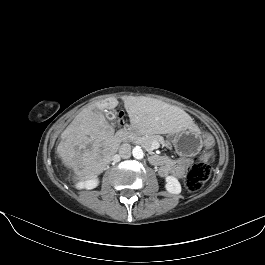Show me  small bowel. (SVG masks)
Segmentation results:
<instances>
[{"instance_id": "small-bowel-1", "label": "small bowel", "mask_w": 265, "mask_h": 265, "mask_svg": "<svg viewBox=\"0 0 265 265\" xmlns=\"http://www.w3.org/2000/svg\"><path fill=\"white\" fill-rule=\"evenodd\" d=\"M210 156V152L204 154L203 158L206 159ZM161 158V164L159 165V175L167 176L173 174L177 177H182L185 173L186 167L191 163V159L187 157H181L172 160L165 156H159Z\"/></svg>"}]
</instances>
